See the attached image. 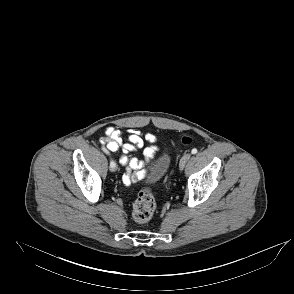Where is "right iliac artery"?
<instances>
[{"label":"right iliac artery","mask_w":294,"mask_h":294,"mask_svg":"<svg viewBox=\"0 0 294 294\" xmlns=\"http://www.w3.org/2000/svg\"><path fill=\"white\" fill-rule=\"evenodd\" d=\"M102 150H103L106 154L110 155V154H109V151H108L105 147H102ZM110 166H111V167H114V166H116V163L112 160V161L110 162Z\"/></svg>","instance_id":"obj_1"}]
</instances>
